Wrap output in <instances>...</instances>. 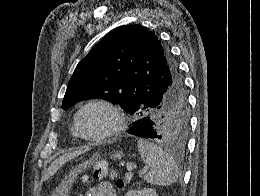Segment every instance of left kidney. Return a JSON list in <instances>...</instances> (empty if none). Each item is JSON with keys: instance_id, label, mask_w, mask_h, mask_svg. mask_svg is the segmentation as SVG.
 Instances as JSON below:
<instances>
[{"instance_id": "obj_1", "label": "left kidney", "mask_w": 260, "mask_h": 196, "mask_svg": "<svg viewBox=\"0 0 260 196\" xmlns=\"http://www.w3.org/2000/svg\"><path fill=\"white\" fill-rule=\"evenodd\" d=\"M125 196H157V194L151 188H143V190H130Z\"/></svg>"}]
</instances>
